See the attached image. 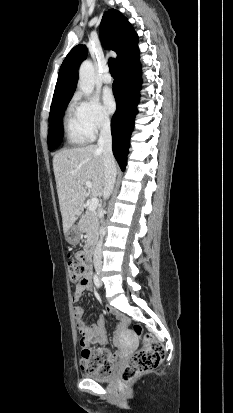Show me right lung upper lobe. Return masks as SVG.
Returning a JSON list of instances; mask_svg holds the SVG:
<instances>
[{
    "label": "right lung upper lobe",
    "instance_id": "cb5924a9",
    "mask_svg": "<svg viewBox=\"0 0 233 413\" xmlns=\"http://www.w3.org/2000/svg\"><path fill=\"white\" fill-rule=\"evenodd\" d=\"M100 36L103 46L117 53V64L138 48V36L133 27L127 18L115 9L104 13ZM86 56L87 49L84 45H77L68 53L59 70L52 104L73 96L78 78L77 68Z\"/></svg>",
    "mask_w": 233,
    "mask_h": 413
}]
</instances>
